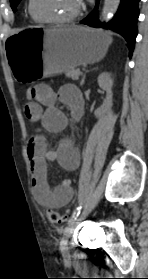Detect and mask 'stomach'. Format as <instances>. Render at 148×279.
<instances>
[{"instance_id":"stomach-1","label":"stomach","mask_w":148,"mask_h":279,"mask_svg":"<svg viewBox=\"0 0 148 279\" xmlns=\"http://www.w3.org/2000/svg\"><path fill=\"white\" fill-rule=\"evenodd\" d=\"M112 38L100 30L79 26L17 30L6 39L8 69L17 85L43 82L49 74L62 73L80 65L100 61L106 55Z\"/></svg>"}]
</instances>
